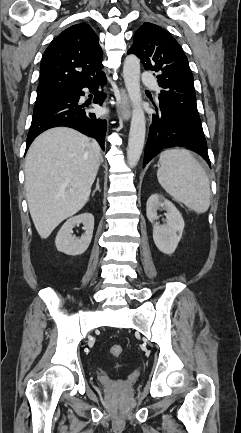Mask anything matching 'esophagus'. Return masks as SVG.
Returning <instances> with one entry per match:
<instances>
[{
	"label": "esophagus",
	"instance_id": "esophagus-1",
	"mask_svg": "<svg viewBox=\"0 0 241 433\" xmlns=\"http://www.w3.org/2000/svg\"><path fill=\"white\" fill-rule=\"evenodd\" d=\"M119 115L125 121H128L131 116L129 97L123 88L120 90Z\"/></svg>",
	"mask_w": 241,
	"mask_h": 433
}]
</instances>
